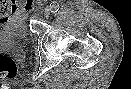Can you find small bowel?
Masks as SVG:
<instances>
[{
	"label": "small bowel",
	"instance_id": "1",
	"mask_svg": "<svg viewBox=\"0 0 131 89\" xmlns=\"http://www.w3.org/2000/svg\"><path fill=\"white\" fill-rule=\"evenodd\" d=\"M12 9H17L21 13H29L34 9V1L27 0L23 5L12 4ZM0 20H5V16L0 14Z\"/></svg>",
	"mask_w": 131,
	"mask_h": 89
}]
</instances>
